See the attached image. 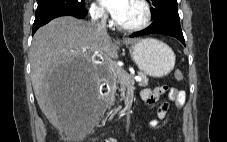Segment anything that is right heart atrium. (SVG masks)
Masks as SVG:
<instances>
[{
    "label": "right heart atrium",
    "instance_id": "d8ad5b80",
    "mask_svg": "<svg viewBox=\"0 0 227 142\" xmlns=\"http://www.w3.org/2000/svg\"><path fill=\"white\" fill-rule=\"evenodd\" d=\"M89 13H90L91 19L95 22L104 24L107 21V16L104 10L96 4H92L90 6Z\"/></svg>",
    "mask_w": 227,
    "mask_h": 142
}]
</instances>
